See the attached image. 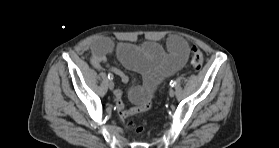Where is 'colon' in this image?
I'll return each instance as SVG.
<instances>
[{"label": "colon", "mask_w": 279, "mask_h": 148, "mask_svg": "<svg viewBox=\"0 0 279 148\" xmlns=\"http://www.w3.org/2000/svg\"><path fill=\"white\" fill-rule=\"evenodd\" d=\"M203 54L202 52L196 47L193 46L191 49V57H190V64L195 71H199L203 65ZM128 126L133 128L137 133H142L144 131V127L142 126H134L133 123L128 122Z\"/></svg>", "instance_id": "1"}]
</instances>
